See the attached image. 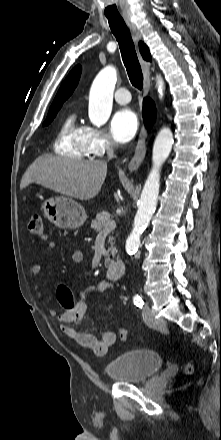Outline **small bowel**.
I'll list each match as a JSON object with an SVG mask.
<instances>
[{"instance_id":"1","label":"small bowel","mask_w":221,"mask_h":440,"mask_svg":"<svg viewBox=\"0 0 221 440\" xmlns=\"http://www.w3.org/2000/svg\"><path fill=\"white\" fill-rule=\"evenodd\" d=\"M47 248L49 250H54L56 248L55 242H49ZM72 260L74 263H81L83 260L82 251H74ZM31 271L34 276L39 275L42 271V265L40 263H35L32 266ZM112 287V282L106 279L80 290L76 298L78 306L73 309L71 315H64L63 312L59 313L56 309H52L50 311L51 316L60 321V331L65 336L75 340L80 346L91 349L96 355L99 356L106 355L108 349L116 342V332L108 330L103 333L101 338H97L95 335L89 332H77L70 326V324H78L83 320L87 308V302L92 295L106 292L112 289ZM33 289L39 298L43 297L41 286L36 280L33 281Z\"/></svg>"}]
</instances>
